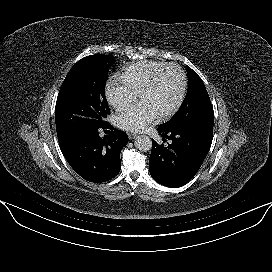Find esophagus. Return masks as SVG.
<instances>
[{
  "label": "esophagus",
  "instance_id": "1",
  "mask_svg": "<svg viewBox=\"0 0 272 272\" xmlns=\"http://www.w3.org/2000/svg\"><path fill=\"white\" fill-rule=\"evenodd\" d=\"M136 137H137V134L128 133V138H129L130 140H132V139H134V138H136Z\"/></svg>",
  "mask_w": 272,
  "mask_h": 272
}]
</instances>
